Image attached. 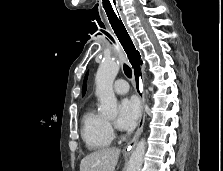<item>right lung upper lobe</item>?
<instances>
[{
  "mask_svg": "<svg viewBox=\"0 0 223 171\" xmlns=\"http://www.w3.org/2000/svg\"><path fill=\"white\" fill-rule=\"evenodd\" d=\"M85 91H86V87L84 88V92H83V95L85 94Z\"/></svg>",
  "mask_w": 223,
  "mask_h": 171,
  "instance_id": "1",
  "label": "right lung upper lobe"
}]
</instances>
